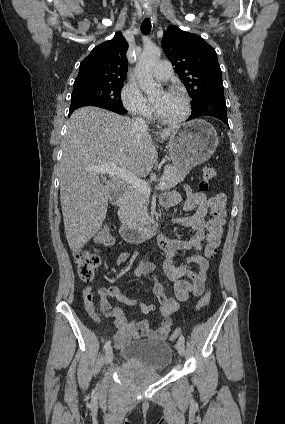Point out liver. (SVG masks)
Masks as SVG:
<instances>
[{
    "instance_id": "6515ba94",
    "label": "liver",
    "mask_w": 285,
    "mask_h": 424,
    "mask_svg": "<svg viewBox=\"0 0 285 424\" xmlns=\"http://www.w3.org/2000/svg\"><path fill=\"white\" fill-rule=\"evenodd\" d=\"M175 128L157 133L161 140ZM60 161V200L65 234L73 252L83 248L105 220L109 195L121 187L113 179L106 185L92 169L115 163L135 176H147L158 153L148 131L132 120L98 107L76 110L67 122Z\"/></svg>"
}]
</instances>
